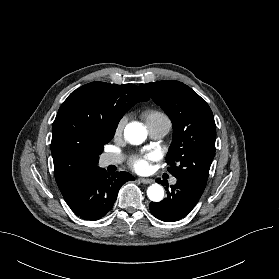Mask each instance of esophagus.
Here are the masks:
<instances>
[{
  "label": "esophagus",
  "instance_id": "34e87169",
  "mask_svg": "<svg viewBox=\"0 0 279 279\" xmlns=\"http://www.w3.org/2000/svg\"><path fill=\"white\" fill-rule=\"evenodd\" d=\"M139 181L143 184H151L153 183L152 179H145V178H140Z\"/></svg>",
  "mask_w": 279,
  "mask_h": 279
}]
</instances>
